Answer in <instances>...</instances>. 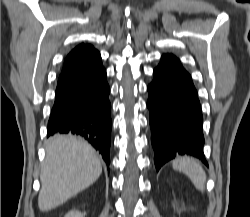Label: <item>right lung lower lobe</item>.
I'll return each mask as SVG.
<instances>
[{
  "label": "right lung lower lobe",
  "mask_w": 250,
  "mask_h": 217,
  "mask_svg": "<svg viewBox=\"0 0 250 217\" xmlns=\"http://www.w3.org/2000/svg\"><path fill=\"white\" fill-rule=\"evenodd\" d=\"M106 70L98 54L81 68L58 79L47 137L71 133L85 138L110 164L111 104Z\"/></svg>",
  "instance_id": "1"
}]
</instances>
